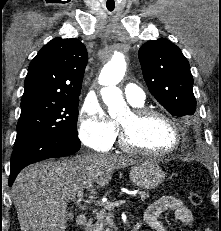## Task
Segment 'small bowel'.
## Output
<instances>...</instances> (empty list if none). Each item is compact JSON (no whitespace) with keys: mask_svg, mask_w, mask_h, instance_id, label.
I'll return each instance as SVG.
<instances>
[{"mask_svg":"<svg viewBox=\"0 0 221 231\" xmlns=\"http://www.w3.org/2000/svg\"><path fill=\"white\" fill-rule=\"evenodd\" d=\"M166 211H174L176 219L184 225L192 226L194 223L192 211L180 198L164 196L147 208L143 222L138 224L137 227H140L142 224H146L153 231H166V228L160 219L161 214Z\"/></svg>","mask_w":221,"mask_h":231,"instance_id":"obj_1","label":"small bowel"}]
</instances>
